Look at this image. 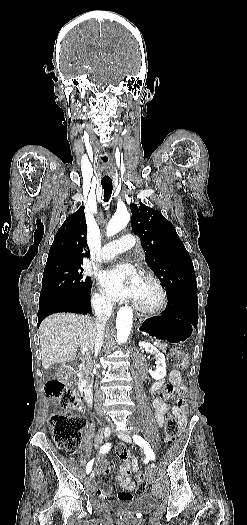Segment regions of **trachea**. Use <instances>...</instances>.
I'll return each mask as SVG.
<instances>
[{
    "instance_id": "trachea-1",
    "label": "trachea",
    "mask_w": 247,
    "mask_h": 525,
    "mask_svg": "<svg viewBox=\"0 0 247 525\" xmlns=\"http://www.w3.org/2000/svg\"><path fill=\"white\" fill-rule=\"evenodd\" d=\"M101 184L104 190V202L108 203L112 195L113 184L112 182H109V181L108 182L102 181Z\"/></svg>"
}]
</instances>
